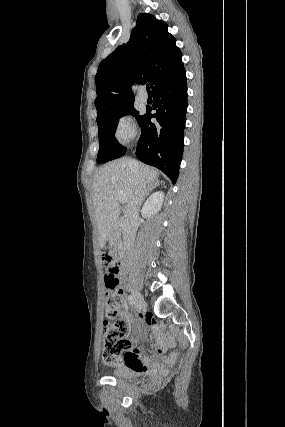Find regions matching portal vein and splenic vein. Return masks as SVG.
Instances as JSON below:
<instances>
[{"mask_svg":"<svg viewBox=\"0 0 285 427\" xmlns=\"http://www.w3.org/2000/svg\"><path fill=\"white\" fill-rule=\"evenodd\" d=\"M117 196H118L119 202L122 203V204H124L125 203V198H124L123 194L119 192L117 194Z\"/></svg>","mask_w":285,"mask_h":427,"instance_id":"portal-vein-and-splenic-vein-1","label":"portal vein and splenic vein"}]
</instances>
